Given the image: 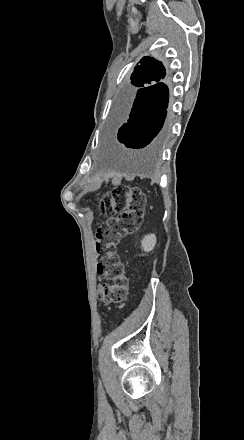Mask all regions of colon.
Returning a JSON list of instances; mask_svg holds the SVG:
<instances>
[{
    "instance_id": "5ec220e1",
    "label": "colon",
    "mask_w": 244,
    "mask_h": 440,
    "mask_svg": "<svg viewBox=\"0 0 244 440\" xmlns=\"http://www.w3.org/2000/svg\"><path fill=\"white\" fill-rule=\"evenodd\" d=\"M100 214L107 219L96 234V266L110 284L98 287L97 297L102 302L122 305L128 298L130 278L117 247L122 237L133 234L142 225L144 197L141 190L137 187L128 192L114 189L111 196H103Z\"/></svg>"
}]
</instances>
